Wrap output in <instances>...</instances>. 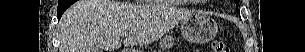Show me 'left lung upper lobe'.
<instances>
[{
  "label": "left lung upper lobe",
  "instance_id": "left-lung-upper-lobe-1",
  "mask_svg": "<svg viewBox=\"0 0 305 52\" xmlns=\"http://www.w3.org/2000/svg\"><path fill=\"white\" fill-rule=\"evenodd\" d=\"M236 3H237V5H238L239 1H236ZM237 5H236V6H237Z\"/></svg>",
  "mask_w": 305,
  "mask_h": 52
}]
</instances>
